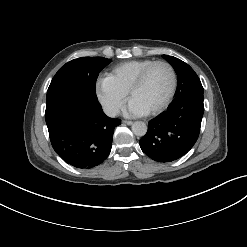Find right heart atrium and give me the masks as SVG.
Masks as SVG:
<instances>
[{"instance_id":"1","label":"right heart atrium","mask_w":247,"mask_h":247,"mask_svg":"<svg viewBox=\"0 0 247 247\" xmlns=\"http://www.w3.org/2000/svg\"><path fill=\"white\" fill-rule=\"evenodd\" d=\"M95 94L103 109L111 116L118 113L126 100L127 92L109 76L100 77L95 83Z\"/></svg>"}]
</instances>
